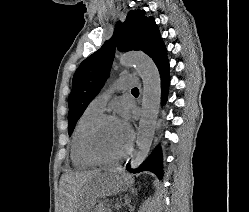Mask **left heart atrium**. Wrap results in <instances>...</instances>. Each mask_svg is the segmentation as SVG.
I'll use <instances>...</instances> for the list:
<instances>
[{"label": "left heart atrium", "instance_id": "left-heart-atrium-1", "mask_svg": "<svg viewBox=\"0 0 249 212\" xmlns=\"http://www.w3.org/2000/svg\"><path fill=\"white\" fill-rule=\"evenodd\" d=\"M119 124L122 128V130L124 131V133L127 135L128 140L130 142L131 140V128L130 125L127 121H119Z\"/></svg>", "mask_w": 249, "mask_h": 212}]
</instances>
